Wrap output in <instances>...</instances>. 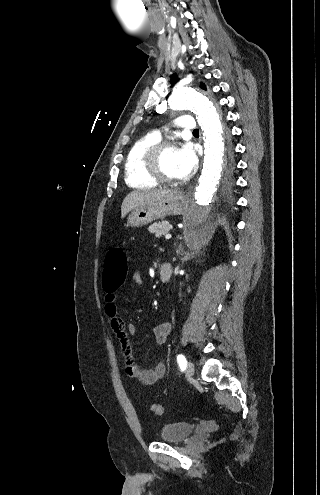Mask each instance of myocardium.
I'll return each mask as SVG.
<instances>
[{"instance_id": "obj_1", "label": "myocardium", "mask_w": 320, "mask_h": 495, "mask_svg": "<svg viewBox=\"0 0 320 495\" xmlns=\"http://www.w3.org/2000/svg\"><path fill=\"white\" fill-rule=\"evenodd\" d=\"M167 148H177L171 139L160 140L151 145L143 155L144 169L158 183L175 184L178 180L166 176L160 166V158Z\"/></svg>"}]
</instances>
